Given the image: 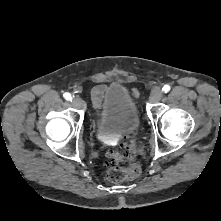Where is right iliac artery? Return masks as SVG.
Listing matches in <instances>:
<instances>
[{
	"label": "right iliac artery",
	"mask_w": 221,
	"mask_h": 221,
	"mask_svg": "<svg viewBox=\"0 0 221 221\" xmlns=\"http://www.w3.org/2000/svg\"><path fill=\"white\" fill-rule=\"evenodd\" d=\"M63 97H64L66 100H68V101H71V100H72V96H71V94L68 93V92L64 93V94H63Z\"/></svg>",
	"instance_id": "right-iliac-artery-1"
}]
</instances>
